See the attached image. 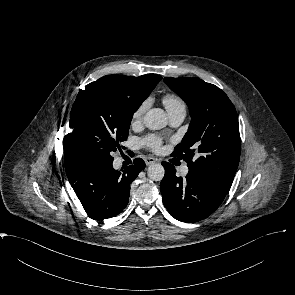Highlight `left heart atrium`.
I'll return each instance as SVG.
<instances>
[{
    "instance_id": "39dd6f15",
    "label": "left heart atrium",
    "mask_w": 295,
    "mask_h": 295,
    "mask_svg": "<svg viewBox=\"0 0 295 295\" xmlns=\"http://www.w3.org/2000/svg\"><path fill=\"white\" fill-rule=\"evenodd\" d=\"M141 144L153 151H158L160 150L161 140L155 135H148L145 138L141 139Z\"/></svg>"
}]
</instances>
